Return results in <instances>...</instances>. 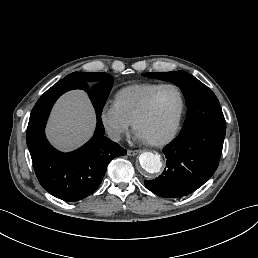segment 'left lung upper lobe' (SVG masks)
I'll return each instance as SVG.
<instances>
[{"mask_svg": "<svg viewBox=\"0 0 258 258\" xmlns=\"http://www.w3.org/2000/svg\"><path fill=\"white\" fill-rule=\"evenodd\" d=\"M143 75L170 81L181 88L188 110L179 137L207 126L226 129L225 118L217 97L206 85L189 73L171 71L144 73Z\"/></svg>", "mask_w": 258, "mask_h": 258, "instance_id": "1", "label": "left lung upper lobe"}]
</instances>
